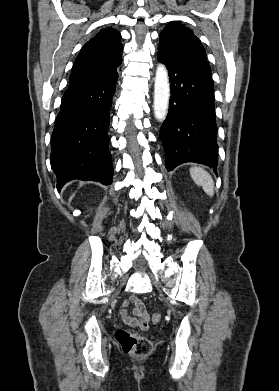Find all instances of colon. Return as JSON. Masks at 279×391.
<instances>
[{"label": "colon", "mask_w": 279, "mask_h": 391, "mask_svg": "<svg viewBox=\"0 0 279 391\" xmlns=\"http://www.w3.org/2000/svg\"><path fill=\"white\" fill-rule=\"evenodd\" d=\"M161 320V315L155 313L152 315V321L158 323ZM115 338L122 350L136 357H146L151 354L153 346L151 341L141 335L120 329L116 331Z\"/></svg>", "instance_id": "colon-1"}]
</instances>
